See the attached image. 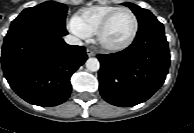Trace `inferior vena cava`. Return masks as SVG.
<instances>
[{"instance_id":"obj_1","label":"inferior vena cava","mask_w":194,"mask_h":133,"mask_svg":"<svg viewBox=\"0 0 194 133\" xmlns=\"http://www.w3.org/2000/svg\"><path fill=\"white\" fill-rule=\"evenodd\" d=\"M64 40L67 44L70 45H82V41L79 38L72 35L65 36Z\"/></svg>"}]
</instances>
